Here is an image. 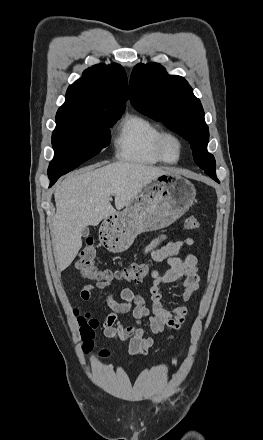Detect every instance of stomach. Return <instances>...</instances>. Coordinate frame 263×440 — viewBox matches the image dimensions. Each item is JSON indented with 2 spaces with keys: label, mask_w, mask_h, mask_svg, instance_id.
Masks as SVG:
<instances>
[{
  "label": "stomach",
  "mask_w": 263,
  "mask_h": 440,
  "mask_svg": "<svg viewBox=\"0 0 263 440\" xmlns=\"http://www.w3.org/2000/svg\"><path fill=\"white\" fill-rule=\"evenodd\" d=\"M196 190L186 178L167 173L147 184L126 208L104 219L101 239L113 253L127 250L137 235L163 229L193 204Z\"/></svg>",
  "instance_id": "stomach-1"
}]
</instances>
